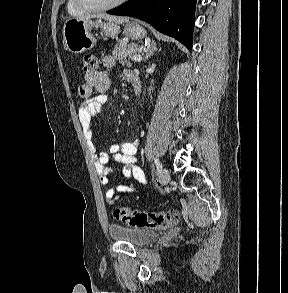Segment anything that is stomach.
I'll return each instance as SVG.
<instances>
[{
	"instance_id": "obj_1",
	"label": "stomach",
	"mask_w": 288,
	"mask_h": 293,
	"mask_svg": "<svg viewBox=\"0 0 288 293\" xmlns=\"http://www.w3.org/2000/svg\"><path fill=\"white\" fill-rule=\"evenodd\" d=\"M101 28L106 36L115 37L120 32V27L114 22H103L101 19L69 18L63 27V41L67 50L72 53H83L92 49L97 42L93 35V29ZM124 33L131 39L146 37V30L135 22H129L124 26Z\"/></svg>"
}]
</instances>
